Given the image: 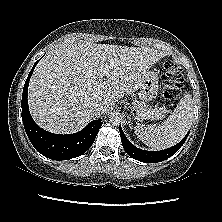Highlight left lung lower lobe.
Here are the masks:
<instances>
[{
    "label": "left lung lower lobe",
    "mask_w": 222,
    "mask_h": 222,
    "mask_svg": "<svg viewBox=\"0 0 222 222\" xmlns=\"http://www.w3.org/2000/svg\"><path fill=\"white\" fill-rule=\"evenodd\" d=\"M119 131L121 135L122 145L125 151L129 154V156L145 163H156V162H161L168 159L180 149V147L184 144V142L186 141L189 135V132H188L181 142H179L177 145L171 148L161 150V151H145V150H141L137 148L136 146L130 143V141L127 139V137L123 133L121 126H119Z\"/></svg>",
    "instance_id": "1"
}]
</instances>
